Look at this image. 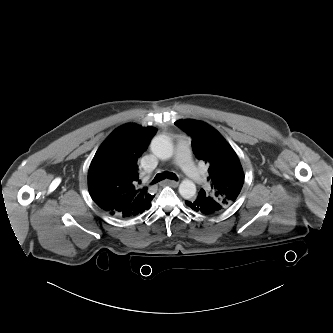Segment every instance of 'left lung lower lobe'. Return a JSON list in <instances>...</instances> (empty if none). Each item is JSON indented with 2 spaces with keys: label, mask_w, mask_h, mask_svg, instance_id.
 I'll use <instances>...</instances> for the list:
<instances>
[{
  "label": "left lung lower lobe",
  "mask_w": 333,
  "mask_h": 333,
  "mask_svg": "<svg viewBox=\"0 0 333 333\" xmlns=\"http://www.w3.org/2000/svg\"><path fill=\"white\" fill-rule=\"evenodd\" d=\"M185 203L192 210L203 214H215L222 211L221 205L215 199L209 198L203 193L198 194L197 197L190 198Z\"/></svg>",
  "instance_id": "1"
}]
</instances>
